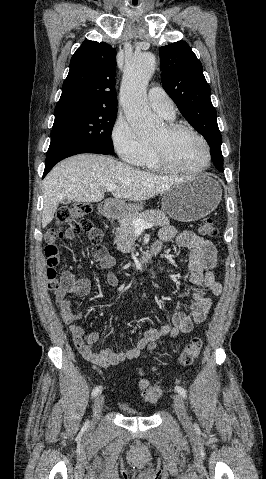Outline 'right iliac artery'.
I'll list each match as a JSON object with an SVG mask.
<instances>
[{"label":"right iliac artery","instance_id":"1","mask_svg":"<svg viewBox=\"0 0 266 479\" xmlns=\"http://www.w3.org/2000/svg\"><path fill=\"white\" fill-rule=\"evenodd\" d=\"M100 391H101V386H96V387L92 390V397L97 396Z\"/></svg>","mask_w":266,"mask_h":479}]
</instances>
